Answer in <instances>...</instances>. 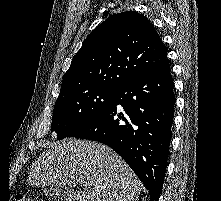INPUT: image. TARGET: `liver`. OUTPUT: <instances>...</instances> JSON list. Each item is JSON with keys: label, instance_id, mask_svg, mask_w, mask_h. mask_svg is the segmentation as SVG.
<instances>
[{"label": "liver", "instance_id": "6515ba94", "mask_svg": "<svg viewBox=\"0 0 221 201\" xmlns=\"http://www.w3.org/2000/svg\"><path fill=\"white\" fill-rule=\"evenodd\" d=\"M28 183L35 187L79 184L70 201H127L138 198L142 183L110 147L87 140L68 139L50 144L32 164Z\"/></svg>", "mask_w": 221, "mask_h": 201}]
</instances>
